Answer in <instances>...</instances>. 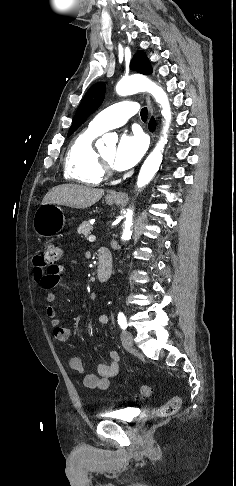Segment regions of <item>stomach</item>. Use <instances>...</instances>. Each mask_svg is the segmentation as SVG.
<instances>
[{"mask_svg": "<svg viewBox=\"0 0 236 486\" xmlns=\"http://www.w3.org/2000/svg\"><path fill=\"white\" fill-rule=\"evenodd\" d=\"M117 198L106 197V203L113 205ZM65 225L63 210L56 204H42L34 214L33 228L41 237H50L59 233Z\"/></svg>", "mask_w": 236, "mask_h": 486, "instance_id": "obj_1", "label": "stomach"}]
</instances>
